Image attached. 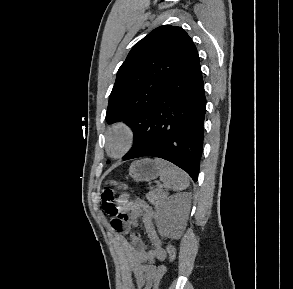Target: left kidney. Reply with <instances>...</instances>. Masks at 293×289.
Here are the masks:
<instances>
[{"mask_svg": "<svg viewBox=\"0 0 293 289\" xmlns=\"http://www.w3.org/2000/svg\"><path fill=\"white\" fill-rule=\"evenodd\" d=\"M191 194L182 193L170 196L157 208L155 221L162 237L177 239L186 224L190 210Z\"/></svg>", "mask_w": 293, "mask_h": 289, "instance_id": "1", "label": "left kidney"}]
</instances>
